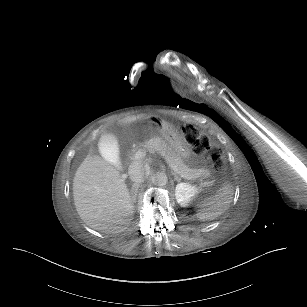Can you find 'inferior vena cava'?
Masks as SVG:
<instances>
[{
  "mask_svg": "<svg viewBox=\"0 0 307 307\" xmlns=\"http://www.w3.org/2000/svg\"><path fill=\"white\" fill-rule=\"evenodd\" d=\"M128 173L133 182L140 184L144 182L145 178L149 175V169L147 165L136 161L131 163Z\"/></svg>",
  "mask_w": 307,
  "mask_h": 307,
  "instance_id": "1",
  "label": "inferior vena cava"
}]
</instances>
